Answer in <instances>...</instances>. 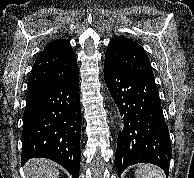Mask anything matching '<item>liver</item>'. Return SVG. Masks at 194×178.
I'll use <instances>...</instances> for the list:
<instances>
[{"label":"liver","mask_w":194,"mask_h":178,"mask_svg":"<svg viewBox=\"0 0 194 178\" xmlns=\"http://www.w3.org/2000/svg\"><path fill=\"white\" fill-rule=\"evenodd\" d=\"M26 178H59L58 166L48 159L37 158L25 165Z\"/></svg>","instance_id":"obj_1"}]
</instances>
